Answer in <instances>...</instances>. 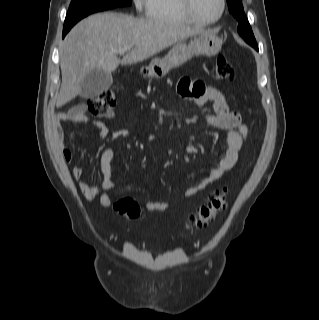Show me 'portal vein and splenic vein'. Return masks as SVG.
Instances as JSON below:
<instances>
[{
    "instance_id": "obj_1",
    "label": "portal vein and splenic vein",
    "mask_w": 319,
    "mask_h": 320,
    "mask_svg": "<svg viewBox=\"0 0 319 320\" xmlns=\"http://www.w3.org/2000/svg\"><path fill=\"white\" fill-rule=\"evenodd\" d=\"M130 48H131V46L121 47V48L118 49L117 53L123 54V53H125L126 51H128Z\"/></svg>"
}]
</instances>
